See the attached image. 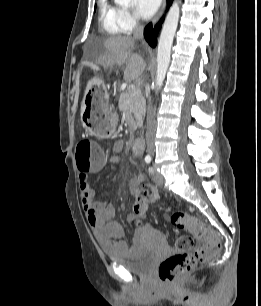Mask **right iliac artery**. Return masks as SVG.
Instances as JSON below:
<instances>
[{"mask_svg":"<svg viewBox=\"0 0 261 306\" xmlns=\"http://www.w3.org/2000/svg\"><path fill=\"white\" fill-rule=\"evenodd\" d=\"M145 162H146V163H150V162H151V157H150L149 155H147V156L145 157Z\"/></svg>","mask_w":261,"mask_h":306,"instance_id":"1","label":"right iliac artery"}]
</instances>
